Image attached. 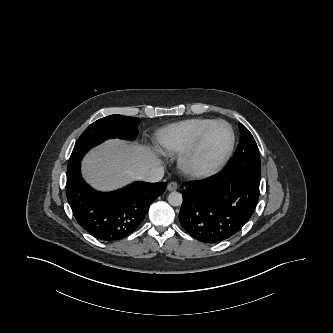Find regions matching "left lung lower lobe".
Masks as SVG:
<instances>
[{"instance_id": "obj_1", "label": "left lung lower lobe", "mask_w": 333, "mask_h": 333, "mask_svg": "<svg viewBox=\"0 0 333 333\" xmlns=\"http://www.w3.org/2000/svg\"><path fill=\"white\" fill-rule=\"evenodd\" d=\"M182 196V227L201 242L218 243L248 222L258 202L259 184L235 172H222L188 182Z\"/></svg>"}]
</instances>
